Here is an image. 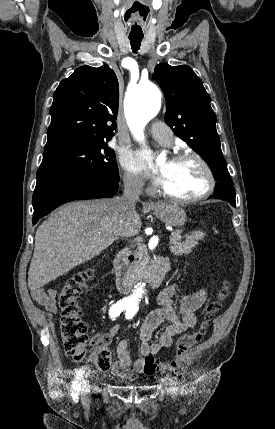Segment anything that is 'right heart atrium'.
I'll list each match as a JSON object with an SVG mask.
<instances>
[{
  "mask_svg": "<svg viewBox=\"0 0 275 429\" xmlns=\"http://www.w3.org/2000/svg\"><path fill=\"white\" fill-rule=\"evenodd\" d=\"M123 181L125 186L132 191H140L144 187L142 179L130 171L124 172Z\"/></svg>",
  "mask_w": 275,
  "mask_h": 429,
  "instance_id": "1",
  "label": "right heart atrium"
}]
</instances>
